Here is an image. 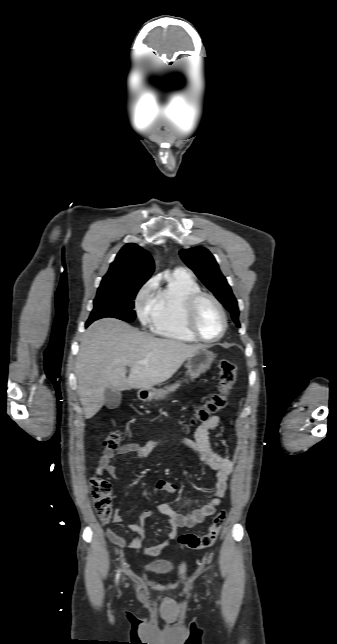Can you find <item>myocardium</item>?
Instances as JSON below:
<instances>
[{"instance_id":"1","label":"myocardium","mask_w":337,"mask_h":644,"mask_svg":"<svg viewBox=\"0 0 337 644\" xmlns=\"http://www.w3.org/2000/svg\"><path fill=\"white\" fill-rule=\"evenodd\" d=\"M205 299L210 300L211 302H213L216 305V307L218 308V310H219V312L221 314V317H222V330H221L220 334L214 339H207V338L203 337L201 335V333L199 332L198 328H197V313H198V309H199L200 303ZM185 322H186V326H187L189 332L198 341H201V342L207 343V344L216 343L219 340H221L224 337V335H225V333L227 331V327H228V317H227V313H226V310H225L223 304L213 294L205 292V291H201V290L196 292V293H194V294H192L190 296V298L188 299L187 304H186V308H185Z\"/></svg>"}]
</instances>
